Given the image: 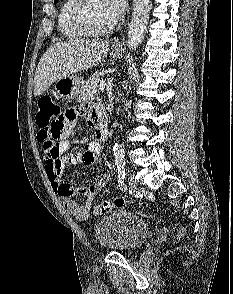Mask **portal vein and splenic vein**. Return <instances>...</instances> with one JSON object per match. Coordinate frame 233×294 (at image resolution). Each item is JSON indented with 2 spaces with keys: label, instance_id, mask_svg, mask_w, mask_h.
Returning <instances> with one entry per match:
<instances>
[{
  "label": "portal vein and splenic vein",
  "instance_id": "obj_1",
  "mask_svg": "<svg viewBox=\"0 0 233 294\" xmlns=\"http://www.w3.org/2000/svg\"><path fill=\"white\" fill-rule=\"evenodd\" d=\"M105 86H106L105 80L100 81L99 88H98L99 91H103Z\"/></svg>",
  "mask_w": 233,
  "mask_h": 294
}]
</instances>
